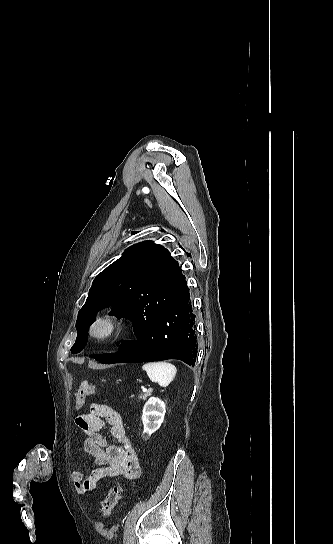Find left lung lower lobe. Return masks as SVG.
Instances as JSON below:
<instances>
[{"label":"left lung lower lobe","instance_id":"left-lung-lower-lobe-1","mask_svg":"<svg viewBox=\"0 0 333 544\" xmlns=\"http://www.w3.org/2000/svg\"><path fill=\"white\" fill-rule=\"evenodd\" d=\"M195 314L189 288L154 319L134 326L135 341H129L117 356H94L103 364L179 359L194 365L197 356Z\"/></svg>","mask_w":333,"mask_h":544}]
</instances>
